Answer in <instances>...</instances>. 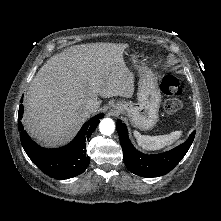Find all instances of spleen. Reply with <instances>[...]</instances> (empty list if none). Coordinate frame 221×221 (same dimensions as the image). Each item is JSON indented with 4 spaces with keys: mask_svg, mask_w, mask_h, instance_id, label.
Listing matches in <instances>:
<instances>
[{
    "mask_svg": "<svg viewBox=\"0 0 221 221\" xmlns=\"http://www.w3.org/2000/svg\"><path fill=\"white\" fill-rule=\"evenodd\" d=\"M133 134L140 147L144 150L155 151L160 150L179 139L182 135V131L178 130L171 132L170 134L158 136L141 135L138 131H134Z\"/></svg>",
    "mask_w": 221,
    "mask_h": 221,
    "instance_id": "1",
    "label": "spleen"
}]
</instances>
